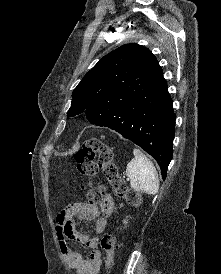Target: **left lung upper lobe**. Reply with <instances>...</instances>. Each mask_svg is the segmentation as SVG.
<instances>
[{
	"label": "left lung upper lobe",
	"mask_w": 221,
	"mask_h": 274,
	"mask_svg": "<svg viewBox=\"0 0 221 274\" xmlns=\"http://www.w3.org/2000/svg\"><path fill=\"white\" fill-rule=\"evenodd\" d=\"M160 68L149 49L138 44L119 47L86 73L73 91L67 115L86 114L93 123L98 111H107L137 97Z\"/></svg>",
	"instance_id": "left-lung-upper-lobe-1"
}]
</instances>
